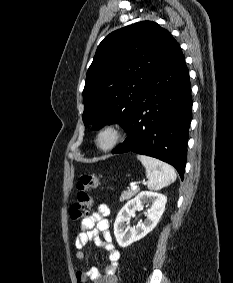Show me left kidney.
I'll return each instance as SVG.
<instances>
[{
  "mask_svg": "<svg viewBox=\"0 0 233 283\" xmlns=\"http://www.w3.org/2000/svg\"><path fill=\"white\" fill-rule=\"evenodd\" d=\"M167 197L163 194L142 191L138 196L127 202L120 210L114 223V235L121 247H127L150 233L158 224L164 210ZM150 203L151 208L147 212V218L138 222L136 227L127 226L131 216Z\"/></svg>",
  "mask_w": 233,
  "mask_h": 283,
  "instance_id": "obj_1",
  "label": "left kidney"
}]
</instances>
